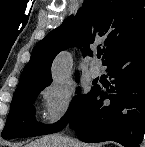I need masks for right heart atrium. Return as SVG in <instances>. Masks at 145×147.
Listing matches in <instances>:
<instances>
[{"instance_id": "d8ad5b80", "label": "right heart atrium", "mask_w": 145, "mask_h": 147, "mask_svg": "<svg viewBox=\"0 0 145 147\" xmlns=\"http://www.w3.org/2000/svg\"><path fill=\"white\" fill-rule=\"evenodd\" d=\"M75 95L69 83H50L41 91L44 120L49 125L62 121L70 112Z\"/></svg>"}]
</instances>
